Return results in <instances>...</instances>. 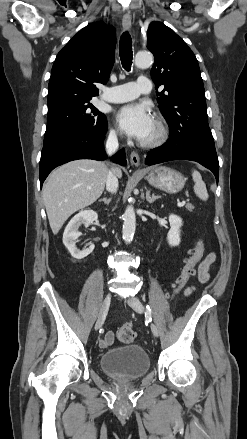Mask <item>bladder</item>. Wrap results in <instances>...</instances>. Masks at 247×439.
I'll return each instance as SVG.
<instances>
[{
    "label": "bladder",
    "mask_w": 247,
    "mask_h": 439,
    "mask_svg": "<svg viewBox=\"0 0 247 439\" xmlns=\"http://www.w3.org/2000/svg\"><path fill=\"white\" fill-rule=\"evenodd\" d=\"M100 366L106 375L115 380L132 381L149 371L150 359L141 346L131 344L104 352L100 358Z\"/></svg>",
    "instance_id": "1"
}]
</instances>
